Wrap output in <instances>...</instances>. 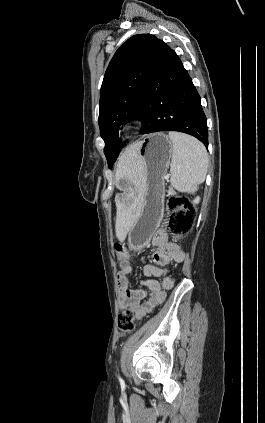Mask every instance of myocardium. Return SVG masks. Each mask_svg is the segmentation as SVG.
I'll return each mask as SVG.
<instances>
[{"instance_id": "f54148a6", "label": "myocardium", "mask_w": 265, "mask_h": 423, "mask_svg": "<svg viewBox=\"0 0 265 423\" xmlns=\"http://www.w3.org/2000/svg\"><path fill=\"white\" fill-rule=\"evenodd\" d=\"M136 125L132 122L124 123L120 126L118 132L122 138H129L135 131Z\"/></svg>"}]
</instances>
